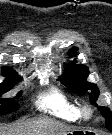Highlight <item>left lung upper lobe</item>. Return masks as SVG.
<instances>
[{"instance_id":"5c2ea615","label":"left lung upper lobe","mask_w":112,"mask_h":135,"mask_svg":"<svg viewBox=\"0 0 112 135\" xmlns=\"http://www.w3.org/2000/svg\"><path fill=\"white\" fill-rule=\"evenodd\" d=\"M76 51L77 48H73L70 50L69 54H75ZM87 76V67L83 65H75V62H71L67 67V71L60 77V80L70 90L80 95L90 91L89 99L92 104H95V101L98 98L99 90L95 84L86 80ZM98 109L105 118L106 127L112 130V114L110 109L102 106H98Z\"/></svg>"}]
</instances>
